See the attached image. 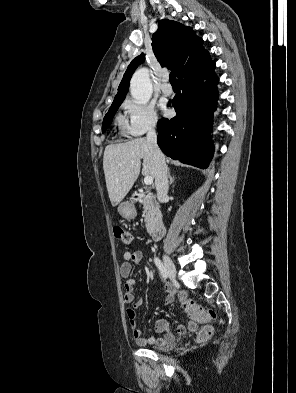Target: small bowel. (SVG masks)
I'll list each match as a JSON object with an SVG mask.
<instances>
[{
  "instance_id": "small-bowel-1",
  "label": "small bowel",
  "mask_w": 296,
  "mask_h": 393,
  "mask_svg": "<svg viewBox=\"0 0 296 393\" xmlns=\"http://www.w3.org/2000/svg\"><path fill=\"white\" fill-rule=\"evenodd\" d=\"M143 257L144 253L141 250H137L134 252L127 251L124 253L123 262L120 264L119 267V272L121 276L125 279L123 300L126 304H133L132 307L127 309V317L129 320V324L132 328L133 336L138 344L164 346L174 340V335L169 332L168 321L161 319L156 322V333L161 334V336H158L157 334H151L147 337H144L142 331L137 327V309L143 304V299L135 300L134 291L136 281L130 275L133 264L139 263ZM164 288L166 293V305H169L176 296L178 297L180 302L187 299L186 294L183 291L177 290L169 283H166ZM198 322L199 321L190 318L187 325H178L176 327V334L182 336L186 333L196 331L198 327Z\"/></svg>"
}]
</instances>
